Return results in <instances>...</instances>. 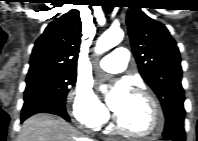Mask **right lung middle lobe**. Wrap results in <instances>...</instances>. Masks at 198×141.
I'll return each mask as SVG.
<instances>
[{
	"mask_svg": "<svg viewBox=\"0 0 198 141\" xmlns=\"http://www.w3.org/2000/svg\"><path fill=\"white\" fill-rule=\"evenodd\" d=\"M76 82V72L41 70L28 72L24 102L40 100L65 107L69 87Z\"/></svg>",
	"mask_w": 198,
	"mask_h": 141,
	"instance_id": "dd1d6c3e",
	"label": "right lung middle lobe"
}]
</instances>
